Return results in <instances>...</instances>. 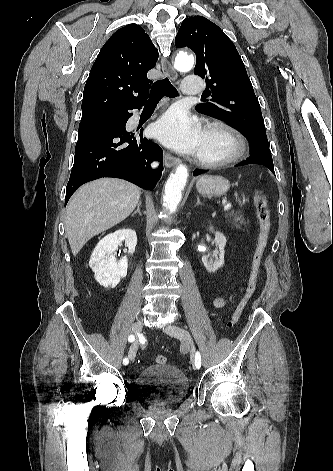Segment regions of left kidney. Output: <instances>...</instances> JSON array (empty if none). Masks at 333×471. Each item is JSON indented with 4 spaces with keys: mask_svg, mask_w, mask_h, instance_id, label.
<instances>
[{
    "mask_svg": "<svg viewBox=\"0 0 333 471\" xmlns=\"http://www.w3.org/2000/svg\"><path fill=\"white\" fill-rule=\"evenodd\" d=\"M210 230H213V228L211 227ZM215 242L219 248V251L213 252V259L208 260L209 255L202 256V262L206 270L210 273L216 272L224 265V248L227 242L226 237L221 232H215Z\"/></svg>",
    "mask_w": 333,
    "mask_h": 471,
    "instance_id": "left-kidney-1",
    "label": "left kidney"
}]
</instances>
